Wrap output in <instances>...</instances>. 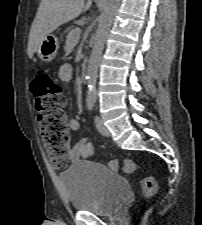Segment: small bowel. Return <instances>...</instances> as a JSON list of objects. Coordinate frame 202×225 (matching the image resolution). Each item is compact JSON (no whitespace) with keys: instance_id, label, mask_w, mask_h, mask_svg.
Segmentation results:
<instances>
[{"instance_id":"obj_1","label":"small bowel","mask_w":202,"mask_h":225,"mask_svg":"<svg viewBox=\"0 0 202 225\" xmlns=\"http://www.w3.org/2000/svg\"><path fill=\"white\" fill-rule=\"evenodd\" d=\"M74 70L70 64L63 65L58 72L61 83H69L73 78ZM70 131L77 133L81 130L80 121L75 117L68 119ZM94 156L92 144L86 138L79 139L70 149L67 160L76 162L80 159H91Z\"/></svg>"}]
</instances>
